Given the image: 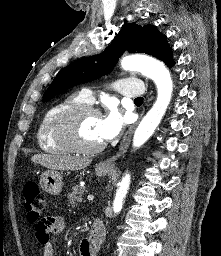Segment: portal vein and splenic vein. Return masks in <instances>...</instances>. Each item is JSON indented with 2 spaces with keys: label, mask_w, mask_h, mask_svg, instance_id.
<instances>
[{
  "label": "portal vein and splenic vein",
  "mask_w": 221,
  "mask_h": 256,
  "mask_svg": "<svg viewBox=\"0 0 221 256\" xmlns=\"http://www.w3.org/2000/svg\"><path fill=\"white\" fill-rule=\"evenodd\" d=\"M93 199H94V196H93V195H88V196H87V200H88V201H93Z\"/></svg>",
  "instance_id": "18ae733b"
}]
</instances>
